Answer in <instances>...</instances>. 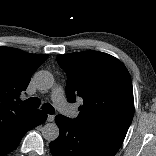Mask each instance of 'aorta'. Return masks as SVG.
I'll list each match as a JSON object with an SVG mask.
<instances>
[{"mask_svg":"<svg viewBox=\"0 0 156 156\" xmlns=\"http://www.w3.org/2000/svg\"><path fill=\"white\" fill-rule=\"evenodd\" d=\"M34 81L38 89L48 90L53 86V75L45 70L38 71L34 75ZM42 136L45 140L51 142L58 138L59 128L56 123H47L42 128Z\"/></svg>","mask_w":156,"mask_h":156,"instance_id":"1","label":"aorta"}]
</instances>
